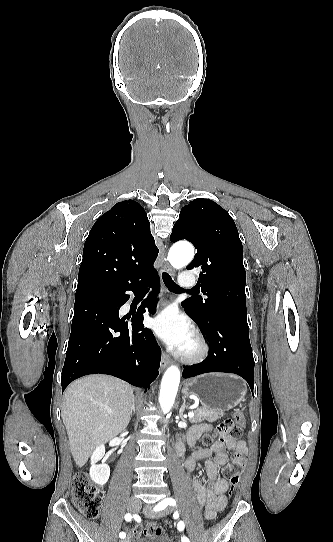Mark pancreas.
Listing matches in <instances>:
<instances>
[{
  "label": "pancreas",
  "mask_w": 333,
  "mask_h": 542,
  "mask_svg": "<svg viewBox=\"0 0 333 542\" xmlns=\"http://www.w3.org/2000/svg\"><path fill=\"white\" fill-rule=\"evenodd\" d=\"M193 412L194 418H189L190 424H198V422H204V420L215 422V420H219L225 414L221 410H208V408H196Z\"/></svg>",
  "instance_id": "cf45deb5"
}]
</instances>
